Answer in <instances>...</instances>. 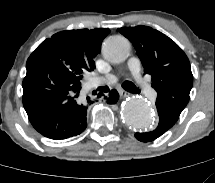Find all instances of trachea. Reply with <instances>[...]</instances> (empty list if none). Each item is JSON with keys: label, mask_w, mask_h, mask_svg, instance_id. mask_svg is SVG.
Here are the masks:
<instances>
[{"label": "trachea", "mask_w": 215, "mask_h": 183, "mask_svg": "<svg viewBox=\"0 0 215 183\" xmlns=\"http://www.w3.org/2000/svg\"><path fill=\"white\" fill-rule=\"evenodd\" d=\"M122 87H123V89H125L126 91H129V92H135L136 91V86L130 81H125L122 84Z\"/></svg>", "instance_id": "1"}]
</instances>
